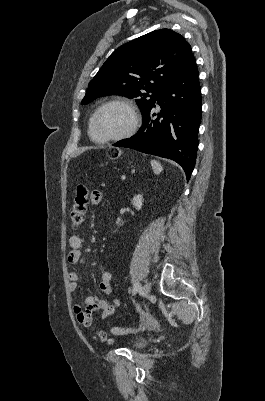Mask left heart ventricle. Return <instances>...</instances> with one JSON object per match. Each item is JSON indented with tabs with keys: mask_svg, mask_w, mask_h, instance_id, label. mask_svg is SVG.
<instances>
[{
	"mask_svg": "<svg viewBox=\"0 0 265 401\" xmlns=\"http://www.w3.org/2000/svg\"><path fill=\"white\" fill-rule=\"evenodd\" d=\"M130 121L131 113L125 106H108L99 114L94 123V136L103 140L119 135L127 128Z\"/></svg>",
	"mask_w": 265,
	"mask_h": 401,
	"instance_id": "1",
	"label": "left heart ventricle"
}]
</instances>
